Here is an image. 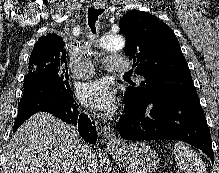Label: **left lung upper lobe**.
Segmentation results:
<instances>
[{"label": "left lung upper lobe", "mask_w": 219, "mask_h": 173, "mask_svg": "<svg viewBox=\"0 0 219 173\" xmlns=\"http://www.w3.org/2000/svg\"><path fill=\"white\" fill-rule=\"evenodd\" d=\"M119 25L126 36L125 53L133 59L135 72L145 79L137 85L130 83L124 98L147 103L197 94L179 42L168 25L136 10L124 15Z\"/></svg>", "instance_id": "1"}]
</instances>
